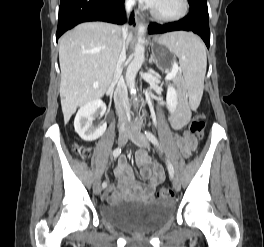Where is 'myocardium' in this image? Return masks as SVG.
I'll list each match as a JSON object with an SVG mask.
<instances>
[{
    "mask_svg": "<svg viewBox=\"0 0 264 247\" xmlns=\"http://www.w3.org/2000/svg\"><path fill=\"white\" fill-rule=\"evenodd\" d=\"M180 4H181V9L175 14L161 15L154 9V7L151 8L150 14L154 19H156L157 21H160V22L179 21V20L185 18L188 15L189 10H190L189 0H180Z\"/></svg>",
    "mask_w": 264,
    "mask_h": 247,
    "instance_id": "obj_1",
    "label": "myocardium"
}]
</instances>
